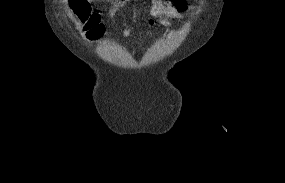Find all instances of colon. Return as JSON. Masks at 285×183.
I'll return each instance as SVG.
<instances>
[{
    "label": "colon",
    "instance_id": "5ec220e1",
    "mask_svg": "<svg viewBox=\"0 0 285 183\" xmlns=\"http://www.w3.org/2000/svg\"><path fill=\"white\" fill-rule=\"evenodd\" d=\"M71 7L80 20L87 38L95 40L102 35L103 27L99 17L91 10L88 0H71ZM178 9H183L185 0H172Z\"/></svg>",
    "mask_w": 285,
    "mask_h": 183
}]
</instances>
